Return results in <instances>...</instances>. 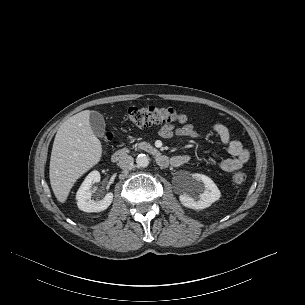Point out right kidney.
I'll return each mask as SVG.
<instances>
[{
  "instance_id": "obj_1",
  "label": "right kidney",
  "mask_w": 305,
  "mask_h": 305,
  "mask_svg": "<svg viewBox=\"0 0 305 305\" xmlns=\"http://www.w3.org/2000/svg\"><path fill=\"white\" fill-rule=\"evenodd\" d=\"M101 179L98 171H92L85 178L84 182L80 186L76 194L77 206L84 212H100L106 210L113 201V193H107L105 197L100 201H94L91 199L92 191L91 186L94 183L99 182Z\"/></svg>"
}]
</instances>
